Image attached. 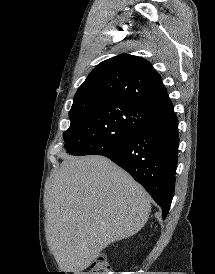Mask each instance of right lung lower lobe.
I'll return each mask as SVG.
<instances>
[{"instance_id": "1", "label": "right lung lower lobe", "mask_w": 215, "mask_h": 274, "mask_svg": "<svg viewBox=\"0 0 215 274\" xmlns=\"http://www.w3.org/2000/svg\"><path fill=\"white\" fill-rule=\"evenodd\" d=\"M178 145V120L172 108L155 114L122 143L96 155L125 169L162 208L165 219L174 194Z\"/></svg>"}]
</instances>
